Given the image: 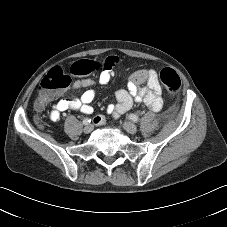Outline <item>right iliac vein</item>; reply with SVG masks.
<instances>
[{
    "label": "right iliac vein",
    "mask_w": 227,
    "mask_h": 227,
    "mask_svg": "<svg viewBox=\"0 0 227 227\" xmlns=\"http://www.w3.org/2000/svg\"><path fill=\"white\" fill-rule=\"evenodd\" d=\"M93 130V125L88 124L84 127V133L88 134Z\"/></svg>",
    "instance_id": "1"
}]
</instances>
